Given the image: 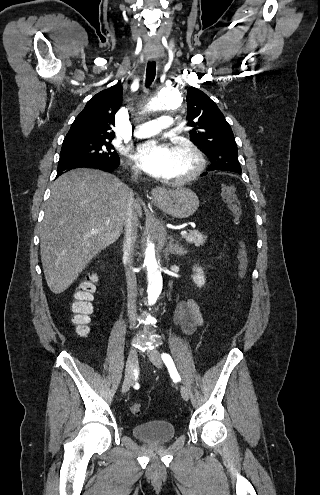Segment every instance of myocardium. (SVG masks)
I'll return each instance as SVG.
<instances>
[{
	"label": "myocardium",
	"mask_w": 320,
	"mask_h": 495,
	"mask_svg": "<svg viewBox=\"0 0 320 495\" xmlns=\"http://www.w3.org/2000/svg\"><path fill=\"white\" fill-rule=\"evenodd\" d=\"M172 147L184 150L192 161L191 168L183 175L175 178L174 182L184 184L195 179L205 167V158L201 150L188 139H173Z\"/></svg>",
	"instance_id": "obj_1"
}]
</instances>
